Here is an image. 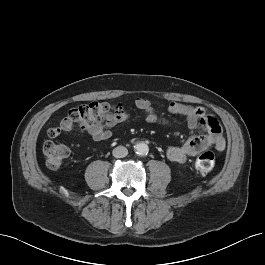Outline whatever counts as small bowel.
Returning a JSON list of instances; mask_svg holds the SVG:
<instances>
[{
    "mask_svg": "<svg viewBox=\"0 0 265 265\" xmlns=\"http://www.w3.org/2000/svg\"><path fill=\"white\" fill-rule=\"evenodd\" d=\"M135 104L137 108L143 110L146 114V121L149 123H163L167 121L158 117L155 113L151 102L145 98L139 97ZM171 114L179 115L185 118L188 127L193 131L210 130V125L214 118L209 117L204 107H193L179 102H172L168 107ZM130 114L124 111L121 107L115 118L107 119L106 121H97L88 127V134L94 141H106L111 138V128L118 123L126 122L130 119ZM209 146H214L218 151H223L226 146L225 139L220 133L213 134L210 137H200L193 135L180 146H171L167 150V158L174 163L182 164L191 157Z\"/></svg>",
    "mask_w": 265,
    "mask_h": 265,
    "instance_id": "obj_1",
    "label": "small bowel"
}]
</instances>
